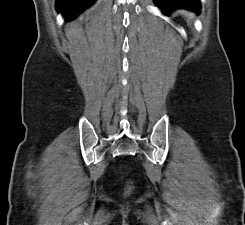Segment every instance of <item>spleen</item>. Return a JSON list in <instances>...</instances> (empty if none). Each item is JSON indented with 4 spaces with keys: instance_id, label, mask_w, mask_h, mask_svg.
Listing matches in <instances>:
<instances>
[{
    "instance_id": "3e777b00",
    "label": "spleen",
    "mask_w": 245,
    "mask_h": 225,
    "mask_svg": "<svg viewBox=\"0 0 245 225\" xmlns=\"http://www.w3.org/2000/svg\"><path fill=\"white\" fill-rule=\"evenodd\" d=\"M183 15L186 17L188 24H190L194 18L192 13H188L187 11H184Z\"/></svg>"
}]
</instances>
